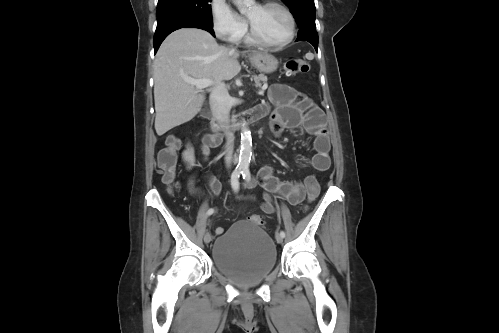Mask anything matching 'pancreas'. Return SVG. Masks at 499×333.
<instances>
[{
  "instance_id": "pancreas-1",
  "label": "pancreas",
  "mask_w": 499,
  "mask_h": 333,
  "mask_svg": "<svg viewBox=\"0 0 499 333\" xmlns=\"http://www.w3.org/2000/svg\"><path fill=\"white\" fill-rule=\"evenodd\" d=\"M252 77L255 81L256 87H261L262 83L266 84V82H267V76H265L264 74L254 75Z\"/></svg>"
}]
</instances>
